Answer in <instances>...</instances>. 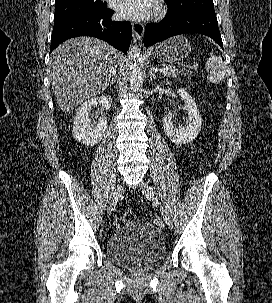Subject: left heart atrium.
<instances>
[{
	"label": "left heart atrium",
	"instance_id": "left-heart-atrium-1",
	"mask_svg": "<svg viewBox=\"0 0 272 303\" xmlns=\"http://www.w3.org/2000/svg\"><path fill=\"white\" fill-rule=\"evenodd\" d=\"M156 0H117L116 11L120 17L144 20L156 11Z\"/></svg>",
	"mask_w": 272,
	"mask_h": 303
}]
</instances>
